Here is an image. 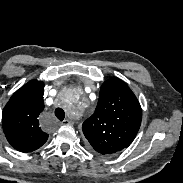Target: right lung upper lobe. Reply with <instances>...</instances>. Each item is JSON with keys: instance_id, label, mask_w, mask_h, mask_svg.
<instances>
[{"instance_id": "obj_1", "label": "right lung upper lobe", "mask_w": 183, "mask_h": 183, "mask_svg": "<svg viewBox=\"0 0 183 183\" xmlns=\"http://www.w3.org/2000/svg\"><path fill=\"white\" fill-rule=\"evenodd\" d=\"M44 83L31 80L17 90L2 113V126L8 142L20 152L40 148L48 134L39 126V114L44 109Z\"/></svg>"}]
</instances>
